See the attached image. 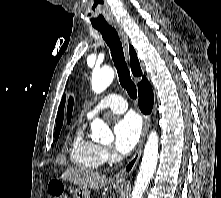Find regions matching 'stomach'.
<instances>
[{
    "label": "stomach",
    "instance_id": "obj_1",
    "mask_svg": "<svg viewBox=\"0 0 221 198\" xmlns=\"http://www.w3.org/2000/svg\"><path fill=\"white\" fill-rule=\"evenodd\" d=\"M114 188H121L123 186L122 183H113ZM73 198H90V191L84 187H77L74 191Z\"/></svg>",
    "mask_w": 221,
    "mask_h": 198
}]
</instances>
